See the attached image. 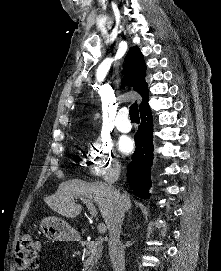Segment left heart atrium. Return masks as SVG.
Here are the masks:
<instances>
[{"mask_svg": "<svg viewBox=\"0 0 221 271\" xmlns=\"http://www.w3.org/2000/svg\"><path fill=\"white\" fill-rule=\"evenodd\" d=\"M119 150L123 153H130L133 150V140L129 136H124L119 140Z\"/></svg>", "mask_w": 221, "mask_h": 271, "instance_id": "left-heart-atrium-1", "label": "left heart atrium"}]
</instances>
